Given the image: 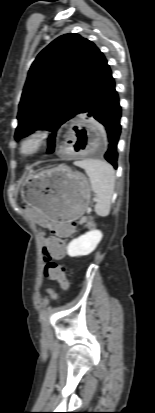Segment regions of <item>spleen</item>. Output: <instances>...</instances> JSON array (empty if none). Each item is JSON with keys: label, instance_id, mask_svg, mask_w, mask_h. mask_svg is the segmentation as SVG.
Returning <instances> with one entry per match:
<instances>
[{"label": "spleen", "instance_id": "1", "mask_svg": "<svg viewBox=\"0 0 155 413\" xmlns=\"http://www.w3.org/2000/svg\"><path fill=\"white\" fill-rule=\"evenodd\" d=\"M74 164L85 170L91 183L96 205L94 210L98 216L106 217L110 213L111 201L115 186V171L113 167L98 159H84Z\"/></svg>", "mask_w": 155, "mask_h": 413}]
</instances>
